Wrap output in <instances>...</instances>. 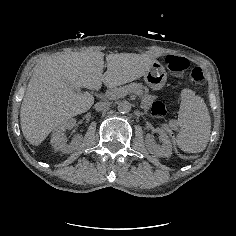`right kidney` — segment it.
Here are the masks:
<instances>
[{"label":"right kidney","instance_id":"1","mask_svg":"<svg viewBox=\"0 0 236 236\" xmlns=\"http://www.w3.org/2000/svg\"><path fill=\"white\" fill-rule=\"evenodd\" d=\"M74 119L67 120L63 125L58 127L51 137V144L54 149L66 154H71L75 151H81L84 147V139L82 135H76L71 143H67L66 130H70L75 125Z\"/></svg>","mask_w":236,"mask_h":236}]
</instances>
